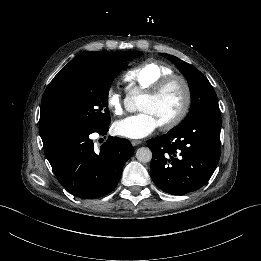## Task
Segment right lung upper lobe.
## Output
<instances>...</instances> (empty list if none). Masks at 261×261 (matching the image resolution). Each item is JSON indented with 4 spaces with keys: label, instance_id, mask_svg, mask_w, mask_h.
Listing matches in <instances>:
<instances>
[{
    "label": "right lung upper lobe",
    "instance_id": "right-lung-upper-lobe-1",
    "mask_svg": "<svg viewBox=\"0 0 261 261\" xmlns=\"http://www.w3.org/2000/svg\"><path fill=\"white\" fill-rule=\"evenodd\" d=\"M127 52H84L77 55L53 78L47 86L41 103L40 132L58 137L69 131V118L65 107L61 84L76 67L86 63H119Z\"/></svg>",
    "mask_w": 261,
    "mask_h": 261
}]
</instances>
